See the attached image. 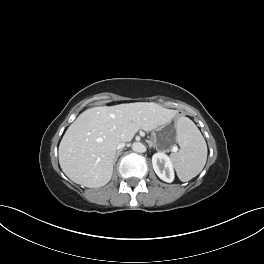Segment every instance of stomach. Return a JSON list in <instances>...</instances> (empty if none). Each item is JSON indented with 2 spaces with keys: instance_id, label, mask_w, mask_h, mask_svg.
Instances as JSON below:
<instances>
[{
  "instance_id": "0dacf381",
  "label": "stomach",
  "mask_w": 264,
  "mask_h": 264,
  "mask_svg": "<svg viewBox=\"0 0 264 264\" xmlns=\"http://www.w3.org/2000/svg\"><path fill=\"white\" fill-rule=\"evenodd\" d=\"M177 127L173 123H165L152 133V139L159 149H167L175 144Z\"/></svg>"
}]
</instances>
